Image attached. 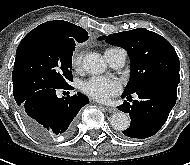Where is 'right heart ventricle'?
Returning <instances> with one entry per match:
<instances>
[{"label":"right heart ventricle","instance_id":"right-heart-ventricle-1","mask_svg":"<svg viewBox=\"0 0 190 165\" xmlns=\"http://www.w3.org/2000/svg\"><path fill=\"white\" fill-rule=\"evenodd\" d=\"M113 49H107L106 51H105V56H106V58H107V60H108V54H109V52H111Z\"/></svg>","mask_w":190,"mask_h":165}]
</instances>
